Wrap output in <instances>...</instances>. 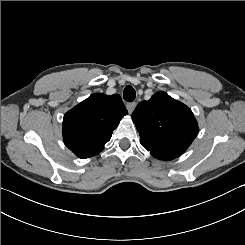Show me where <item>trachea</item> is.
Wrapping results in <instances>:
<instances>
[{
	"label": "trachea",
	"mask_w": 245,
	"mask_h": 245,
	"mask_svg": "<svg viewBox=\"0 0 245 245\" xmlns=\"http://www.w3.org/2000/svg\"><path fill=\"white\" fill-rule=\"evenodd\" d=\"M136 97V92L132 86H126L123 92V98L127 102H133Z\"/></svg>",
	"instance_id": "1"
}]
</instances>
